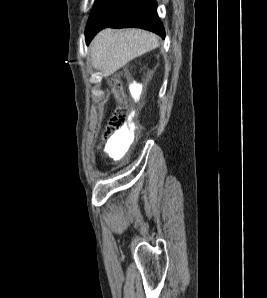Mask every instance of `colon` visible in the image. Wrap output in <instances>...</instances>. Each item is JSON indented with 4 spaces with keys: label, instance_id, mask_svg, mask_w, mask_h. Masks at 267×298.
I'll use <instances>...</instances> for the list:
<instances>
[{
    "label": "colon",
    "instance_id": "colon-1",
    "mask_svg": "<svg viewBox=\"0 0 267 298\" xmlns=\"http://www.w3.org/2000/svg\"><path fill=\"white\" fill-rule=\"evenodd\" d=\"M113 86L116 90H118L121 86V83L118 79L113 81ZM127 123V117L123 106H119L110 116L108 125H107V133H112L113 131L119 130L124 127Z\"/></svg>",
    "mask_w": 267,
    "mask_h": 298
}]
</instances>
